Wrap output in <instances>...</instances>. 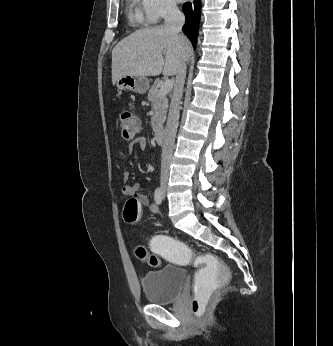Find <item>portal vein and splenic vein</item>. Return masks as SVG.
I'll return each instance as SVG.
<instances>
[{
	"label": "portal vein and splenic vein",
	"instance_id": "18ae733b",
	"mask_svg": "<svg viewBox=\"0 0 333 346\" xmlns=\"http://www.w3.org/2000/svg\"><path fill=\"white\" fill-rule=\"evenodd\" d=\"M172 88H173V82L170 80H166L161 84L159 94L166 95L172 90Z\"/></svg>",
	"mask_w": 333,
	"mask_h": 346
}]
</instances>
